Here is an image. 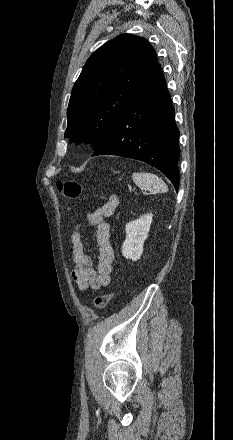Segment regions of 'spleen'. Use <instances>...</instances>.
Masks as SVG:
<instances>
[{
	"mask_svg": "<svg viewBox=\"0 0 233 440\" xmlns=\"http://www.w3.org/2000/svg\"><path fill=\"white\" fill-rule=\"evenodd\" d=\"M134 183L143 190H148L152 193H166L168 186L157 175L148 172H135L132 175Z\"/></svg>",
	"mask_w": 233,
	"mask_h": 440,
	"instance_id": "1",
	"label": "spleen"
}]
</instances>
